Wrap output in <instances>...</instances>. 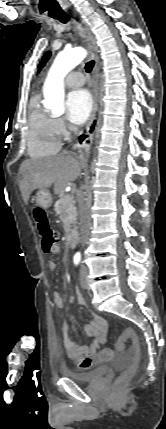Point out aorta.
Segmentation results:
<instances>
[{
  "label": "aorta",
  "mask_w": 166,
  "mask_h": 429,
  "mask_svg": "<svg viewBox=\"0 0 166 429\" xmlns=\"http://www.w3.org/2000/svg\"><path fill=\"white\" fill-rule=\"evenodd\" d=\"M87 55L82 47H76L60 52L49 70L44 83V105L52 113L62 114L64 112V77Z\"/></svg>",
  "instance_id": "762f6f07"
}]
</instances>
